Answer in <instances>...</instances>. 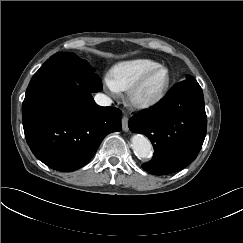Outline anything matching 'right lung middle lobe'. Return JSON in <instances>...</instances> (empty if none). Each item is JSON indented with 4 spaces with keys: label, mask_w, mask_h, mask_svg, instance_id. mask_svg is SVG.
Wrapping results in <instances>:
<instances>
[{
    "label": "right lung middle lobe",
    "mask_w": 243,
    "mask_h": 243,
    "mask_svg": "<svg viewBox=\"0 0 243 243\" xmlns=\"http://www.w3.org/2000/svg\"><path fill=\"white\" fill-rule=\"evenodd\" d=\"M56 69L72 72H93V68L86 60H83L70 52H59L54 54L39 70L53 71Z\"/></svg>",
    "instance_id": "right-lung-middle-lobe-1"
}]
</instances>
